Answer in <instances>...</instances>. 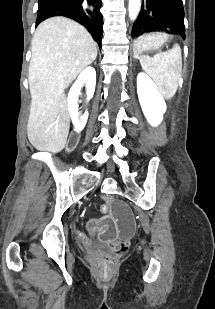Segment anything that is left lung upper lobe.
<instances>
[{"label": "left lung upper lobe", "instance_id": "left-lung-upper-lobe-1", "mask_svg": "<svg viewBox=\"0 0 215 309\" xmlns=\"http://www.w3.org/2000/svg\"><path fill=\"white\" fill-rule=\"evenodd\" d=\"M159 30L185 37L182 0H142V10L133 25L132 37Z\"/></svg>", "mask_w": 215, "mask_h": 309}]
</instances>
